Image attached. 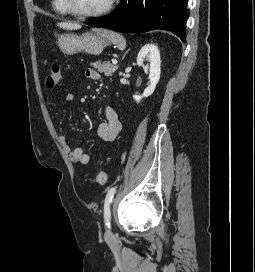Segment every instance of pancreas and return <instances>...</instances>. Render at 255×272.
Here are the masks:
<instances>
[{
  "instance_id": "1",
  "label": "pancreas",
  "mask_w": 255,
  "mask_h": 272,
  "mask_svg": "<svg viewBox=\"0 0 255 272\" xmlns=\"http://www.w3.org/2000/svg\"><path fill=\"white\" fill-rule=\"evenodd\" d=\"M91 66L97 69L98 72L104 73V75L107 77L112 76L113 73L118 69V65H112L109 62L101 63V61L91 63Z\"/></svg>"
}]
</instances>
